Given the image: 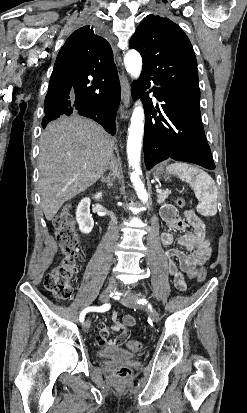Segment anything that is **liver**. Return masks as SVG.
I'll list each match as a JSON object with an SVG mask.
<instances>
[{"mask_svg":"<svg viewBox=\"0 0 247 413\" xmlns=\"http://www.w3.org/2000/svg\"><path fill=\"white\" fill-rule=\"evenodd\" d=\"M114 138L101 124L79 114L47 124L40 136L39 194L47 221L63 202L86 190L104 174Z\"/></svg>","mask_w":247,"mask_h":413,"instance_id":"1","label":"liver"}]
</instances>
